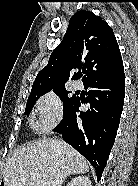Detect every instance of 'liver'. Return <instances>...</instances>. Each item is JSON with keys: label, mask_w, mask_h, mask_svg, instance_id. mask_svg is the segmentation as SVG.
I'll use <instances>...</instances> for the list:
<instances>
[{"label": "liver", "mask_w": 138, "mask_h": 186, "mask_svg": "<svg viewBox=\"0 0 138 186\" xmlns=\"http://www.w3.org/2000/svg\"><path fill=\"white\" fill-rule=\"evenodd\" d=\"M89 171L88 161L64 141L44 138L17 149L7 160L4 186H36L35 174L46 186H61L73 174Z\"/></svg>", "instance_id": "6515ba94"}]
</instances>
